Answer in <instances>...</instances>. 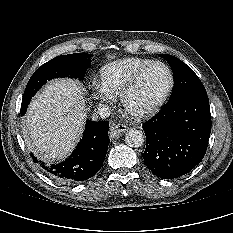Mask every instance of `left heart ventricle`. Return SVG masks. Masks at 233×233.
<instances>
[{"label":"left heart ventricle","instance_id":"left-heart-ventricle-1","mask_svg":"<svg viewBox=\"0 0 233 233\" xmlns=\"http://www.w3.org/2000/svg\"><path fill=\"white\" fill-rule=\"evenodd\" d=\"M168 83L169 75L164 67H151L130 95L129 106L133 110H141L150 106L162 95Z\"/></svg>","mask_w":233,"mask_h":233}]
</instances>
